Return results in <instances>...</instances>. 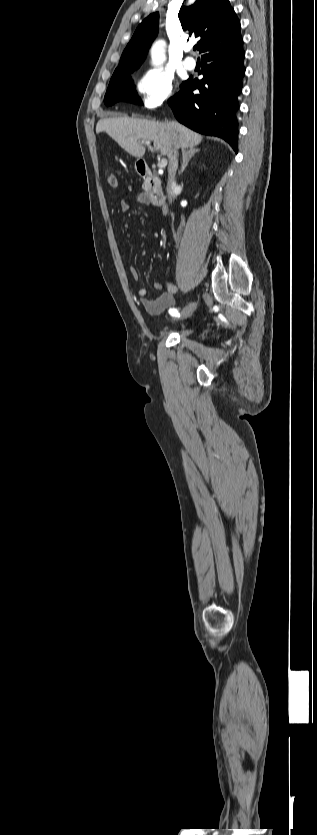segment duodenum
<instances>
[{"mask_svg": "<svg viewBox=\"0 0 317 835\" xmlns=\"http://www.w3.org/2000/svg\"><path fill=\"white\" fill-rule=\"evenodd\" d=\"M137 171L149 185L151 203L155 206L164 205L166 197L162 189L161 179L155 175L149 166L142 160H139L137 163Z\"/></svg>", "mask_w": 317, "mask_h": 835, "instance_id": "1", "label": "duodenum"}]
</instances>
